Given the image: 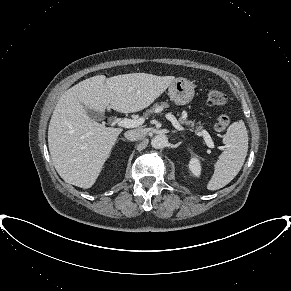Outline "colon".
Listing matches in <instances>:
<instances>
[{
	"label": "colon",
	"mask_w": 291,
	"mask_h": 291,
	"mask_svg": "<svg viewBox=\"0 0 291 291\" xmlns=\"http://www.w3.org/2000/svg\"><path fill=\"white\" fill-rule=\"evenodd\" d=\"M206 99L208 104L213 106H220L226 103V96L217 89H210L207 92ZM230 120L229 117L225 114H220L215 119V129L218 131H222L227 128Z\"/></svg>",
	"instance_id": "colon-1"
}]
</instances>
